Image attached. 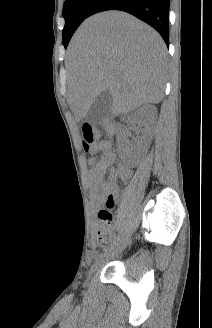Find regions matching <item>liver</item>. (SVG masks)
Here are the masks:
<instances>
[{
  "instance_id": "6515ba94",
  "label": "liver",
  "mask_w": 212,
  "mask_h": 328,
  "mask_svg": "<svg viewBox=\"0 0 212 328\" xmlns=\"http://www.w3.org/2000/svg\"><path fill=\"white\" fill-rule=\"evenodd\" d=\"M167 50L150 26L120 11L86 19L68 48L67 101L76 121L108 90L112 114L129 113L163 97Z\"/></svg>"
}]
</instances>
